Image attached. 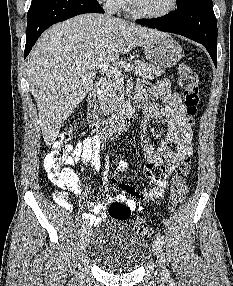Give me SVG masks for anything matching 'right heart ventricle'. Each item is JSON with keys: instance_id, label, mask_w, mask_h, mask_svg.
<instances>
[{"instance_id": "1", "label": "right heart ventricle", "mask_w": 233, "mask_h": 286, "mask_svg": "<svg viewBox=\"0 0 233 286\" xmlns=\"http://www.w3.org/2000/svg\"><path fill=\"white\" fill-rule=\"evenodd\" d=\"M126 8H127L126 2H125V0H123V1L120 3L118 9H126Z\"/></svg>"}]
</instances>
